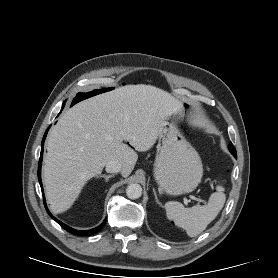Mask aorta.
<instances>
[{"mask_svg":"<svg viewBox=\"0 0 278 278\" xmlns=\"http://www.w3.org/2000/svg\"><path fill=\"white\" fill-rule=\"evenodd\" d=\"M126 195L130 199H138L142 195V187L139 184L132 183L127 186Z\"/></svg>","mask_w":278,"mask_h":278,"instance_id":"aorta-1","label":"aorta"}]
</instances>
